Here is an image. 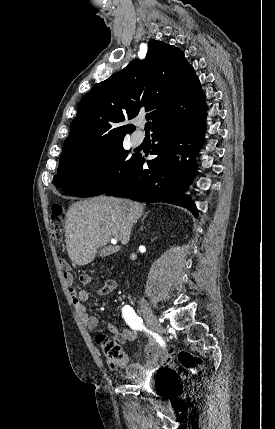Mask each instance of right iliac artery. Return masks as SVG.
Returning <instances> with one entry per match:
<instances>
[{
    "mask_svg": "<svg viewBox=\"0 0 275 429\" xmlns=\"http://www.w3.org/2000/svg\"><path fill=\"white\" fill-rule=\"evenodd\" d=\"M122 316L124 318V320L126 321V323L134 330H140V331H145L146 333L150 334L151 336H153V338L156 339V341L161 345V346H165V342L164 340L157 334L154 333L152 331H150L149 329H147L144 324H143V320L135 313V311L133 310L132 307H130L129 305H125L122 309Z\"/></svg>",
    "mask_w": 275,
    "mask_h": 429,
    "instance_id": "right-iliac-artery-1",
    "label": "right iliac artery"
}]
</instances>
